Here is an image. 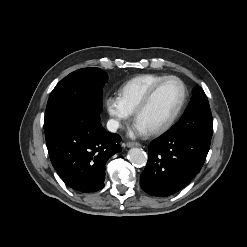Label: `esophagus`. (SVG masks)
<instances>
[{
	"instance_id": "obj_1",
	"label": "esophagus",
	"mask_w": 247,
	"mask_h": 247,
	"mask_svg": "<svg viewBox=\"0 0 247 247\" xmlns=\"http://www.w3.org/2000/svg\"><path fill=\"white\" fill-rule=\"evenodd\" d=\"M126 146H127V147H135V146H136V147H139V146H141V144L138 143V142H131V141H130V142H127V143H126Z\"/></svg>"
}]
</instances>
